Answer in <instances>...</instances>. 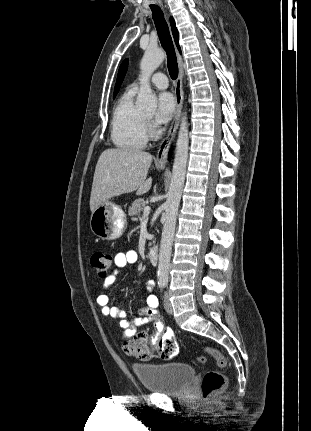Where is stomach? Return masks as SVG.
<instances>
[{
    "label": "stomach",
    "mask_w": 311,
    "mask_h": 431,
    "mask_svg": "<svg viewBox=\"0 0 311 431\" xmlns=\"http://www.w3.org/2000/svg\"><path fill=\"white\" fill-rule=\"evenodd\" d=\"M159 170H164L159 166ZM127 227V217L114 202H103L90 216V229L100 239H117Z\"/></svg>",
    "instance_id": "obj_1"
}]
</instances>
